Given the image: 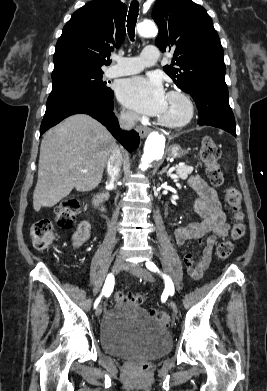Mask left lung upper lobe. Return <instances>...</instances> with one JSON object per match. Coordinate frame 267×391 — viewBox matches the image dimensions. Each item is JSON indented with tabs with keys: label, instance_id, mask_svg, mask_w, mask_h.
<instances>
[{
	"label": "left lung upper lobe",
	"instance_id": "left-lung-upper-lobe-1",
	"mask_svg": "<svg viewBox=\"0 0 267 391\" xmlns=\"http://www.w3.org/2000/svg\"><path fill=\"white\" fill-rule=\"evenodd\" d=\"M152 18L159 27L155 44L163 52L174 51L172 65L164 71L181 90L227 88L223 48L203 7L192 0H157Z\"/></svg>",
	"mask_w": 267,
	"mask_h": 391
}]
</instances>
